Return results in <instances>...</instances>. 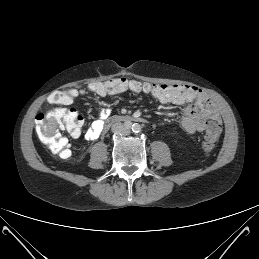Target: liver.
<instances>
[{
	"label": "liver",
	"mask_w": 259,
	"mask_h": 259,
	"mask_svg": "<svg viewBox=\"0 0 259 259\" xmlns=\"http://www.w3.org/2000/svg\"><path fill=\"white\" fill-rule=\"evenodd\" d=\"M56 123L54 122V120H50L48 122V126H47V130H46V135L50 136L54 133L55 129H56Z\"/></svg>",
	"instance_id": "6515ba94"
}]
</instances>
